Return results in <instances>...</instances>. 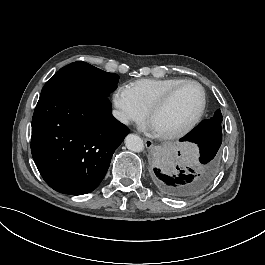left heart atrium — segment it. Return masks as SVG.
Returning a JSON list of instances; mask_svg holds the SVG:
<instances>
[{"mask_svg":"<svg viewBox=\"0 0 265 265\" xmlns=\"http://www.w3.org/2000/svg\"><path fill=\"white\" fill-rule=\"evenodd\" d=\"M150 129H151L153 132H155V130L152 128V126H150Z\"/></svg>","mask_w":265,"mask_h":265,"instance_id":"left-heart-atrium-1","label":"left heart atrium"}]
</instances>
